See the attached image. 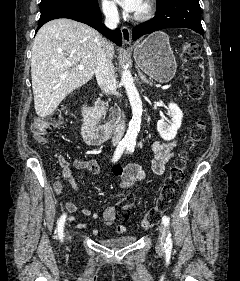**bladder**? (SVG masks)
<instances>
[{
  "label": "bladder",
  "instance_id": "obj_1",
  "mask_svg": "<svg viewBox=\"0 0 240 281\" xmlns=\"http://www.w3.org/2000/svg\"><path fill=\"white\" fill-rule=\"evenodd\" d=\"M136 240V235L127 234L119 238L102 240L100 243L108 248H124L134 244Z\"/></svg>",
  "mask_w": 240,
  "mask_h": 281
}]
</instances>
